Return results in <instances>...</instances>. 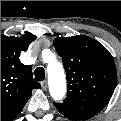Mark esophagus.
<instances>
[{"label": "esophagus", "mask_w": 121, "mask_h": 121, "mask_svg": "<svg viewBox=\"0 0 121 121\" xmlns=\"http://www.w3.org/2000/svg\"><path fill=\"white\" fill-rule=\"evenodd\" d=\"M41 86H42V89H43L44 91H46L47 88H48V83H47V81L44 80V81L41 83Z\"/></svg>", "instance_id": "obj_1"}]
</instances>
